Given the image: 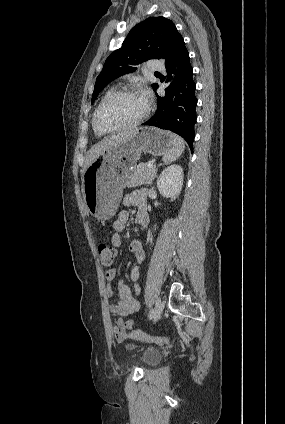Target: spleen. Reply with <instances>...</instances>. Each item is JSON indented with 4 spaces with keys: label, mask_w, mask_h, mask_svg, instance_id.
<instances>
[{
    "label": "spleen",
    "mask_w": 285,
    "mask_h": 424,
    "mask_svg": "<svg viewBox=\"0 0 285 424\" xmlns=\"http://www.w3.org/2000/svg\"><path fill=\"white\" fill-rule=\"evenodd\" d=\"M184 149H185L184 140L181 137L174 135L173 146L169 150V152L163 157L164 163L168 164L178 159L183 153Z\"/></svg>",
    "instance_id": "obj_1"
}]
</instances>
